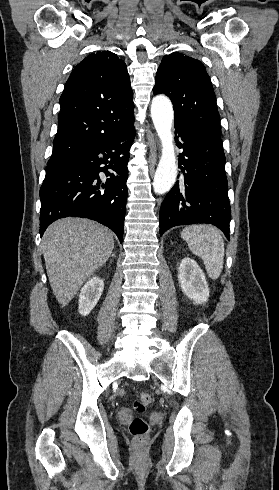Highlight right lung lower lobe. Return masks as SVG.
<instances>
[{
    "label": "right lung lower lobe",
    "mask_w": 279,
    "mask_h": 490,
    "mask_svg": "<svg viewBox=\"0 0 279 490\" xmlns=\"http://www.w3.org/2000/svg\"><path fill=\"white\" fill-rule=\"evenodd\" d=\"M134 136L132 127L94 149L58 163V169L45 176L40 188L41 236L53 221L75 216L109 227L122 243L128 193L127 162ZM99 172L109 178L102 181Z\"/></svg>",
    "instance_id": "98d812e1"
}]
</instances>
